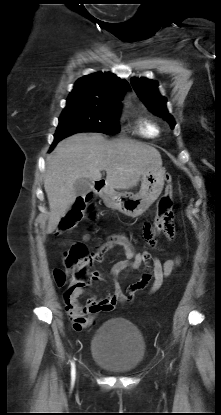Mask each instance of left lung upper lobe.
I'll return each instance as SVG.
<instances>
[{"mask_svg":"<svg viewBox=\"0 0 221 415\" xmlns=\"http://www.w3.org/2000/svg\"><path fill=\"white\" fill-rule=\"evenodd\" d=\"M131 84L139 98L146 107L159 117L166 120L171 128H174L175 121L166 109V98L158 91V83L147 78H132Z\"/></svg>","mask_w":221,"mask_h":415,"instance_id":"left-lung-upper-lobe-1","label":"left lung upper lobe"}]
</instances>
